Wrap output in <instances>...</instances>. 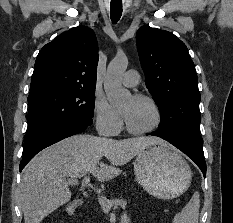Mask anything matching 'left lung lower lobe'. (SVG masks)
Returning <instances> with one entry per match:
<instances>
[{"label": "left lung lower lobe", "mask_w": 233, "mask_h": 223, "mask_svg": "<svg viewBox=\"0 0 233 223\" xmlns=\"http://www.w3.org/2000/svg\"><path fill=\"white\" fill-rule=\"evenodd\" d=\"M147 135L158 136L179 150L184 152L189 158H191L197 166L201 169L204 177L206 176V163L203 152V139L198 136L184 135V134H167L159 131L148 133Z\"/></svg>", "instance_id": "left-lung-lower-lobe-1"}]
</instances>
